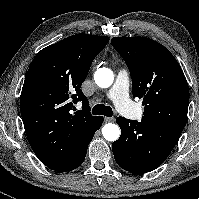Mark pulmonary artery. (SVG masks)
I'll list each match as a JSON object with an SVG mask.
<instances>
[{
	"instance_id": "obj_1",
	"label": "pulmonary artery",
	"mask_w": 199,
	"mask_h": 199,
	"mask_svg": "<svg viewBox=\"0 0 199 199\" xmlns=\"http://www.w3.org/2000/svg\"><path fill=\"white\" fill-rule=\"evenodd\" d=\"M108 98L122 112H125L126 108L132 105L130 100V79L127 70L122 69L118 72L115 83L108 92ZM130 116L133 115L130 114Z\"/></svg>"
}]
</instances>
